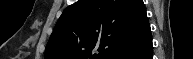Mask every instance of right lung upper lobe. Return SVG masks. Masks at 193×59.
Here are the masks:
<instances>
[{
  "label": "right lung upper lobe",
  "mask_w": 193,
  "mask_h": 59,
  "mask_svg": "<svg viewBox=\"0 0 193 59\" xmlns=\"http://www.w3.org/2000/svg\"><path fill=\"white\" fill-rule=\"evenodd\" d=\"M149 33L142 0H78L60 16L44 59H113Z\"/></svg>",
  "instance_id": "right-lung-upper-lobe-1"
}]
</instances>
